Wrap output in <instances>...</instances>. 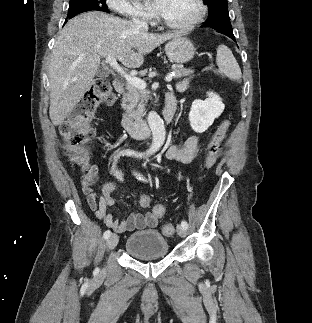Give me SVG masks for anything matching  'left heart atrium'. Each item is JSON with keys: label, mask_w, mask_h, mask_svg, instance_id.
Here are the masks:
<instances>
[{"label": "left heart atrium", "mask_w": 312, "mask_h": 323, "mask_svg": "<svg viewBox=\"0 0 312 323\" xmlns=\"http://www.w3.org/2000/svg\"><path fill=\"white\" fill-rule=\"evenodd\" d=\"M148 7L149 8H158L159 7V2L155 0H150L148 2Z\"/></svg>", "instance_id": "1"}]
</instances>
